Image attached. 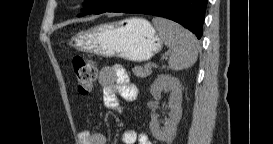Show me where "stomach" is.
I'll return each instance as SVG.
<instances>
[{
    "mask_svg": "<svg viewBox=\"0 0 273 144\" xmlns=\"http://www.w3.org/2000/svg\"><path fill=\"white\" fill-rule=\"evenodd\" d=\"M67 44L78 51L102 57L143 62L158 53L163 42L146 19L132 17L81 31L71 37Z\"/></svg>",
    "mask_w": 273,
    "mask_h": 144,
    "instance_id": "1",
    "label": "stomach"
}]
</instances>
